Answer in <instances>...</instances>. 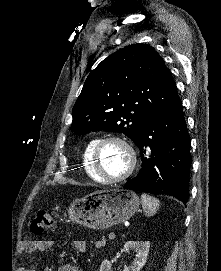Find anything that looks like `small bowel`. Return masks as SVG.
Segmentation results:
<instances>
[{
  "mask_svg": "<svg viewBox=\"0 0 221 271\" xmlns=\"http://www.w3.org/2000/svg\"><path fill=\"white\" fill-rule=\"evenodd\" d=\"M74 248L79 253H85L87 245L84 240L78 239L73 242ZM54 247V241L49 239H25L20 245V250L25 253L38 251H49ZM25 271V269H19ZM58 271H81V269L73 264H63L58 268Z\"/></svg>",
  "mask_w": 221,
  "mask_h": 271,
  "instance_id": "small-bowel-1",
  "label": "small bowel"
}]
</instances>
